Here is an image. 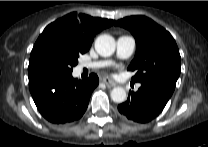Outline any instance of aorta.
Listing matches in <instances>:
<instances>
[{"label":"aorta","instance_id":"aorta-1","mask_svg":"<svg viewBox=\"0 0 208 147\" xmlns=\"http://www.w3.org/2000/svg\"><path fill=\"white\" fill-rule=\"evenodd\" d=\"M115 39L108 34H102L95 40L96 52L103 56H111L115 52ZM111 99L116 103H122L127 99L126 91L122 87H115L110 93Z\"/></svg>","mask_w":208,"mask_h":147}]
</instances>
